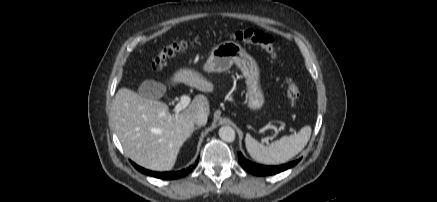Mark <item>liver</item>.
<instances>
[{
	"mask_svg": "<svg viewBox=\"0 0 437 202\" xmlns=\"http://www.w3.org/2000/svg\"><path fill=\"white\" fill-rule=\"evenodd\" d=\"M170 83H184L202 92L214 90L212 82L195 69L177 70ZM199 112L210 113L209 101L201 94L178 114H171L165 103L128 88L119 89L112 104L115 131L126 156L155 171H167L175 165L180 148L195 129L194 117Z\"/></svg>",
	"mask_w": 437,
	"mask_h": 202,
	"instance_id": "6515ba94",
	"label": "liver"
}]
</instances>
